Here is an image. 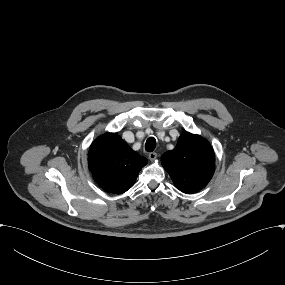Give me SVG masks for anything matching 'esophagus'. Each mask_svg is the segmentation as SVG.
Segmentation results:
<instances>
[{
	"label": "esophagus",
	"instance_id": "34e87169",
	"mask_svg": "<svg viewBox=\"0 0 285 285\" xmlns=\"http://www.w3.org/2000/svg\"><path fill=\"white\" fill-rule=\"evenodd\" d=\"M157 157V153L156 152H151L148 154V158L150 159V161H154Z\"/></svg>",
	"mask_w": 285,
	"mask_h": 285
}]
</instances>
